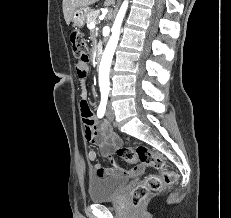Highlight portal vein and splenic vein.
<instances>
[{
    "mask_svg": "<svg viewBox=\"0 0 231 218\" xmlns=\"http://www.w3.org/2000/svg\"><path fill=\"white\" fill-rule=\"evenodd\" d=\"M95 25H96L95 22H91L90 25H89V27H90V28H94Z\"/></svg>",
    "mask_w": 231,
    "mask_h": 218,
    "instance_id": "18ae733b",
    "label": "portal vein and splenic vein"
}]
</instances>
